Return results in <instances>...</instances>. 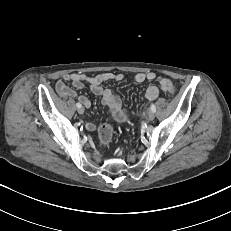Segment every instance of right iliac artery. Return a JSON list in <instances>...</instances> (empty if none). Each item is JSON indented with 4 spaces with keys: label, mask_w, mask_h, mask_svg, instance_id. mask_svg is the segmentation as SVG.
<instances>
[{
    "label": "right iliac artery",
    "mask_w": 231,
    "mask_h": 231,
    "mask_svg": "<svg viewBox=\"0 0 231 231\" xmlns=\"http://www.w3.org/2000/svg\"><path fill=\"white\" fill-rule=\"evenodd\" d=\"M76 106L79 108V107H81V104L80 103H76Z\"/></svg>",
    "instance_id": "right-iliac-artery-1"
}]
</instances>
